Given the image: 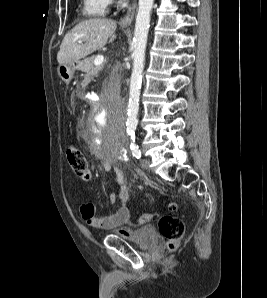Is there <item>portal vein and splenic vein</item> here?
Wrapping results in <instances>:
<instances>
[{
    "mask_svg": "<svg viewBox=\"0 0 267 298\" xmlns=\"http://www.w3.org/2000/svg\"><path fill=\"white\" fill-rule=\"evenodd\" d=\"M78 43H82V40H79ZM104 62V57L103 55H98L95 60H94V65L99 66Z\"/></svg>",
    "mask_w": 267,
    "mask_h": 298,
    "instance_id": "18ae733b",
    "label": "portal vein and splenic vein"
}]
</instances>
